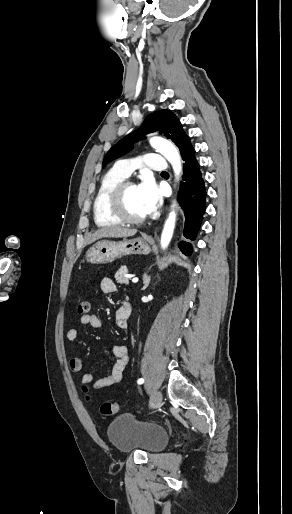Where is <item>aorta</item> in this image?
Wrapping results in <instances>:
<instances>
[{"instance_id":"obj_1","label":"aorta","mask_w":292,"mask_h":514,"mask_svg":"<svg viewBox=\"0 0 292 514\" xmlns=\"http://www.w3.org/2000/svg\"><path fill=\"white\" fill-rule=\"evenodd\" d=\"M150 144L152 148H155L159 154H162L168 162H170L176 178H179L182 170L181 166V158L178 150H176L175 146L168 142V140H164V138H151ZM175 220L176 214L175 212H170L168 220L165 222L164 230L161 236V246L162 248H167L174 232L175 228Z\"/></svg>"}]
</instances>
